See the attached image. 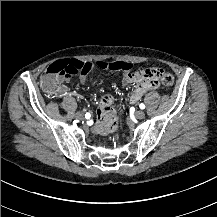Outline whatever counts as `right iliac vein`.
Returning <instances> with one entry per match:
<instances>
[{
	"label": "right iliac vein",
	"instance_id": "right-iliac-vein-1",
	"mask_svg": "<svg viewBox=\"0 0 217 217\" xmlns=\"http://www.w3.org/2000/svg\"><path fill=\"white\" fill-rule=\"evenodd\" d=\"M75 117L79 120H82V119H84V114L79 111L75 114Z\"/></svg>",
	"mask_w": 217,
	"mask_h": 217
}]
</instances>
